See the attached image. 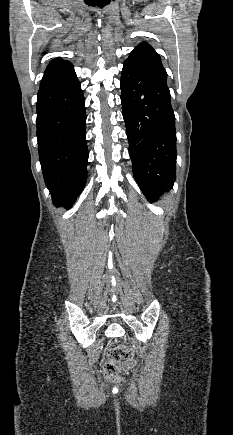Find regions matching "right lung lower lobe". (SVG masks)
Segmentation results:
<instances>
[{"label":"right lung lower lobe","mask_w":233,"mask_h":435,"mask_svg":"<svg viewBox=\"0 0 233 435\" xmlns=\"http://www.w3.org/2000/svg\"><path fill=\"white\" fill-rule=\"evenodd\" d=\"M39 160L55 206L70 208L87 179L85 98L76 74L39 89Z\"/></svg>","instance_id":"right-lung-lower-lobe-1"}]
</instances>
